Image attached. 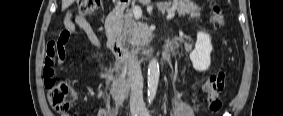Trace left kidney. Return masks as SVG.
Masks as SVG:
<instances>
[{
  "label": "left kidney",
  "instance_id": "left-kidney-1",
  "mask_svg": "<svg viewBox=\"0 0 283 116\" xmlns=\"http://www.w3.org/2000/svg\"><path fill=\"white\" fill-rule=\"evenodd\" d=\"M212 49L210 36L204 32H198L195 48L190 53V60L195 70L202 72L209 68Z\"/></svg>",
  "mask_w": 283,
  "mask_h": 116
}]
</instances>
